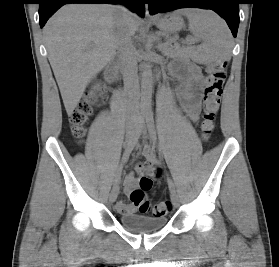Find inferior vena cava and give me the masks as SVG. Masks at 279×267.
I'll use <instances>...</instances> for the list:
<instances>
[{
    "label": "inferior vena cava",
    "mask_w": 279,
    "mask_h": 267,
    "mask_svg": "<svg viewBox=\"0 0 279 267\" xmlns=\"http://www.w3.org/2000/svg\"><path fill=\"white\" fill-rule=\"evenodd\" d=\"M120 12L121 19L115 31V43L122 65L125 87L129 90L130 100L136 101L138 99L139 83L136 50L132 42L135 30L131 25L132 14L124 7H120Z\"/></svg>",
    "instance_id": "obj_1"
}]
</instances>
